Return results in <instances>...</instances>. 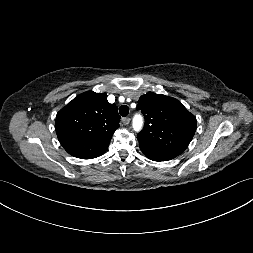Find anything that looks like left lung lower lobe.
Here are the masks:
<instances>
[{"instance_id": "obj_1", "label": "left lung lower lobe", "mask_w": 253, "mask_h": 253, "mask_svg": "<svg viewBox=\"0 0 253 253\" xmlns=\"http://www.w3.org/2000/svg\"><path fill=\"white\" fill-rule=\"evenodd\" d=\"M140 149L146 155L147 158L154 161H167L176 157L174 155L163 153L156 150L144 149V148H140Z\"/></svg>"}]
</instances>
